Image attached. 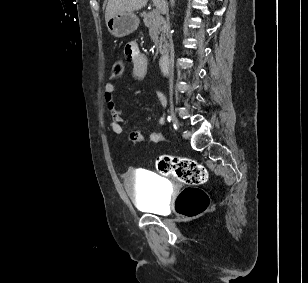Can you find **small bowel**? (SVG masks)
I'll return each instance as SVG.
<instances>
[{"mask_svg": "<svg viewBox=\"0 0 308 283\" xmlns=\"http://www.w3.org/2000/svg\"><path fill=\"white\" fill-rule=\"evenodd\" d=\"M124 55L129 59L132 64V75L135 79H144L147 75V59L141 53L138 44L134 41L126 44L124 48ZM161 104L163 107L166 105V100L163 95H159ZM104 99L107 104L108 111L110 113L111 121L110 128L115 134H122L124 125L127 124L124 111L118 106L115 99V85L113 82L106 83L104 87ZM161 124L164 123V117L160 120ZM149 139L154 143H160L163 141L164 136L161 132L149 130L147 132ZM130 139L132 141H141L143 134L140 131H132L130 133Z\"/></svg>", "mask_w": 308, "mask_h": 283, "instance_id": "obj_1", "label": "small bowel"}]
</instances>
